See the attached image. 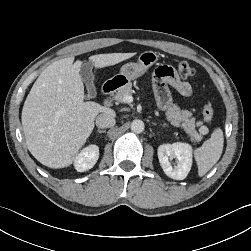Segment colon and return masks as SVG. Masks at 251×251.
I'll use <instances>...</instances> for the list:
<instances>
[{
    "instance_id": "1",
    "label": "colon",
    "mask_w": 251,
    "mask_h": 251,
    "mask_svg": "<svg viewBox=\"0 0 251 251\" xmlns=\"http://www.w3.org/2000/svg\"><path fill=\"white\" fill-rule=\"evenodd\" d=\"M177 72L182 78H190L194 75V68L187 62L182 61L177 66ZM203 116L206 122L210 123L214 117V110L212 105L207 102L203 107Z\"/></svg>"
}]
</instances>
